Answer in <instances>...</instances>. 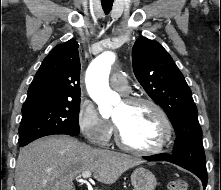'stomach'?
<instances>
[{
	"label": "stomach",
	"mask_w": 221,
	"mask_h": 190,
	"mask_svg": "<svg viewBox=\"0 0 221 190\" xmlns=\"http://www.w3.org/2000/svg\"><path fill=\"white\" fill-rule=\"evenodd\" d=\"M131 183L134 190H154L157 180L151 171L139 167L131 174Z\"/></svg>",
	"instance_id": "stomach-1"
}]
</instances>
